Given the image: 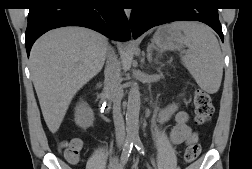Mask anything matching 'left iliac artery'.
Masks as SVG:
<instances>
[{
    "label": "left iliac artery",
    "instance_id": "1",
    "mask_svg": "<svg viewBox=\"0 0 252 169\" xmlns=\"http://www.w3.org/2000/svg\"><path fill=\"white\" fill-rule=\"evenodd\" d=\"M134 145L140 154L145 155V149L140 139H134Z\"/></svg>",
    "mask_w": 252,
    "mask_h": 169
}]
</instances>
